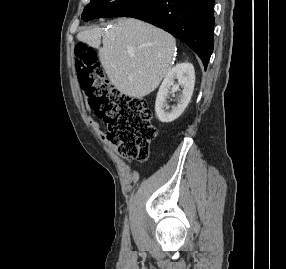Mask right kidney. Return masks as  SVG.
<instances>
[{
    "mask_svg": "<svg viewBox=\"0 0 286 269\" xmlns=\"http://www.w3.org/2000/svg\"><path fill=\"white\" fill-rule=\"evenodd\" d=\"M177 80V83H175ZM195 84V72L191 63H180L173 67L164 78L155 102V112L163 123H169L177 119L189 104ZM181 86L182 90L179 89ZM171 90V92H169ZM180 91L177 105L171 112H166V100L169 93Z\"/></svg>",
    "mask_w": 286,
    "mask_h": 269,
    "instance_id": "1",
    "label": "right kidney"
}]
</instances>
